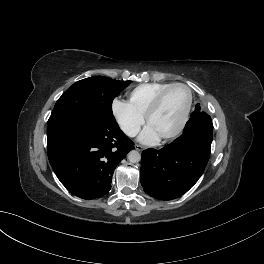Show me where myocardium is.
Wrapping results in <instances>:
<instances>
[{
	"label": "myocardium",
	"instance_id": "f54148a6",
	"mask_svg": "<svg viewBox=\"0 0 264 264\" xmlns=\"http://www.w3.org/2000/svg\"><path fill=\"white\" fill-rule=\"evenodd\" d=\"M175 87H181L187 91V95H188L187 102H186V105L184 107L181 118H180L178 124L176 125V127L173 130H171L170 132L160 136V138L163 140L171 139V138L177 136L185 127L187 120H188V117H189L191 105H192L191 89L184 83H171V84H169L168 86H166L165 88H163L161 91L158 92V94L154 97V99L152 100V102L150 103L149 107L147 108V110L144 114L145 122L148 124L151 116L158 110L159 106L161 105V102H162L164 96L166 95V93Z\"/></svg>",
	"mask_w": 264,
	"mask_h": 264
}]
</instances>
